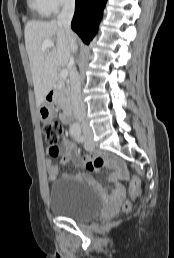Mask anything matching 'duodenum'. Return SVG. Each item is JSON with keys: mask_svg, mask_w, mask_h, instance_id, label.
Instances as JSON below:
<instances>
[{"mask_svg": "<svg viewBox=\"0 0 174 258\" xmlns=\"http://www.w3.org/2000/svg\"><path fill=\"white\" fill-rule=\"evenodd\" d=\"M54 95L55 91L53 89L48 91L46 96L49 104L54 103ZM62 120L64 124H69L71 122V109L68 106H64Z\"/></svg>", "mask_w": 174, "mask_h": 258, "instance_id": "410a0bca", "label": "duodenum"}]
</instances>
